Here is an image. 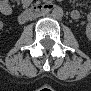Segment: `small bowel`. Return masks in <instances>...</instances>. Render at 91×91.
Instances as JSON below:
<instances>
[{
  "label": "small bowel",
  "mask_w": 91,
  "mask_h": 91,
  "mask_svg": "<svg viewBox=\"0 0 91 91\" xmlns=\"http://www.w3.org/2000/svg\"><path fill=\"white\" fill-rule=\"evenodd\" d=\"M1 9L3 12H8L10 10V7H9L8 3L3 2L1 5Z\"/></svg>",
  "instance_id": "1"
}]
</instances>
